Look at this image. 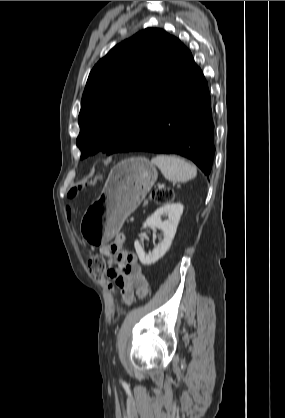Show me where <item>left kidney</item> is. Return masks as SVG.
<instances>
[{
  "instance_id": "1",
  "label": "left kidney",
  "mask_w": 285,
  "mask_h": 418,
  "mask_svg": "<svg viewBox=\"0 0 285 418\" xmlns=\"http://www.w3.org/2000/svg\"><path fill=\"white\" fill-rule=\"evenodd\" d=\"M183 213V205L181 203L165 204L157 209L143 223V227H156L163 231L164 238L152 252L146 254L139 240L134 243L135 250L139 260L144 265H151L165 255L174 239L178 223ZM166 215L168 219L162 221L161 217Z\"/></svg>"
}]
</instances>
